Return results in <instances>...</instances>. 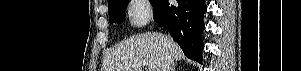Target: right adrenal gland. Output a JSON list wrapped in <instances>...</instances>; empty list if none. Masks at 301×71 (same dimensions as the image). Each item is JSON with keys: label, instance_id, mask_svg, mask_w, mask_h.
<instances>
[{"label": "right adrenal gland", "instance_id": "right-adrenal-gland-1", "mask_svg": "<svg viewBox=\"0 0 301 71\" xmlns=\"http://www.w3.org/2000/svg\"><path fill=\"white\" fill-rule=\"evenodd\" d=\"M175 68H176V66L173 67L172 71H175L176 70Z\"/></svg>", "mask_w": 301, "mask_h": 71}]
</instances>
